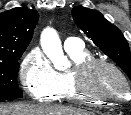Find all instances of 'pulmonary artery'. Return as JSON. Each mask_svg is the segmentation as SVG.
<instances>
[{
	"label": "pulmonary artery",
	"instance_id": "e3ab8cb5",
	"mask_svg": "<svg viewBox=\"0 0 131 115\" xmlns=\"http://www.w3.org/2000/svg\"><path fill=\"white\" fill-rule=\"evenodd\" d=\"M65 50H73L82 48V42L76 37H69L64 42Z\"/></svg>",
	"mask_w": 131,
	"mask_h": 115
}]
</instances>
